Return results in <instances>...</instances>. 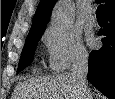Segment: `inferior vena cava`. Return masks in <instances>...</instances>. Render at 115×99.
Segmentation results:
<instances>
[{
	"label": "inferior vena cava",
	"mask_w": 115,
	"mask_h": 99,
	"mask_svg": "<svg viewBox=\"0 0 115 99\" xmlns=\"http://www.w3.org/2000/svg\"><path fill=\"white\" fill-rule=\"evenodd\" d=\"M71 76L75 82L81 99H91L90 90L87 86V72H88V54L79 53L72 62Z\"/></svg>",
	"instance_id": "602c4592"
}]
</instances>
